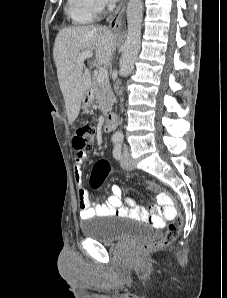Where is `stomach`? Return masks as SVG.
<instances>
[{
  "instance_id": "stomach-1",
  "label": "stomach",
  "mask_w": 227,
  "mask_h": 298,
  "mask_svg": "<svg viewBox=\"0 0 227 298\" xmlns=\"http://www.w3.org/2000/svg\"><path fill=\"white\" fill-rule=\"evenodd\" d=\"M93 99H94L93 94L91 92H89V90H88L83 97L82 107L84 109L89 108L93 103Z\"/></svg>"
}]
</instances>
